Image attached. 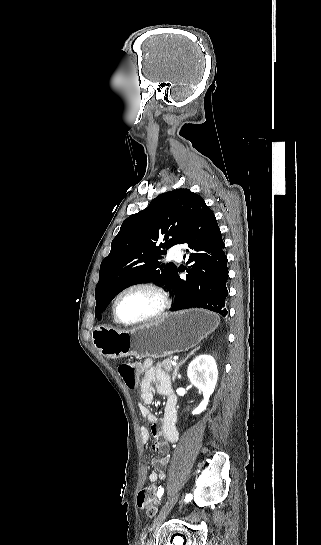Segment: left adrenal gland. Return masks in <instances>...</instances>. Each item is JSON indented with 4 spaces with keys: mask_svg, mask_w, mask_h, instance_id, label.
<instances>
[{
    "mask_svg": "<svg viewBox=\"0 0 321 545\" xmlns=\"http://www.w3.org/2000/svg\"><path fill=\"white\" fill-rule=\"evenodd\" d=\"M195 351V349H194ZM194 351H191V353H189V355H187V357H185V359H183V361H181V363H178L177 367H175V371L173 373V377H172V381H175L177 375H178V369L179 367H181V365H183V363H185L186 359H188V357H190V355H193Z\"/></svg>",
    "mask_w": 321,
    "mask_h": 545,
    "instance_id": "a2214340",
    "label": "left adrenal gland"
}]
</instances>
